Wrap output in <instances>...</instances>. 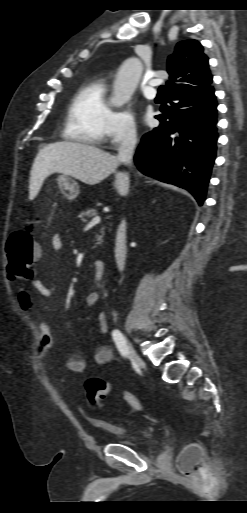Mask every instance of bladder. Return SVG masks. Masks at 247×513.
<instances>
[{
  "label": "bladder",
  "mask_w": 247,
  "mask_h": 513,
  "mask_svg": "<svg viewBox=\"0 0 247 513\" xmlns=\"http://www.w3.org/2000/svg\"><path fill=\"white\" fill-rule=\"evenodd\" d=\"M95 425L101 429H104L112 434H114L119 439H124L129 436H149V431L146 429H139L133 432L128 431L127 429L114 425L109 422L97 421Z\"/></svg>",
  "instance_id": "1"
}]
</instances>
